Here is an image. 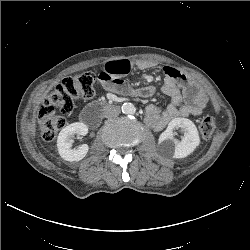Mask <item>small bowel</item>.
<instances>
[{"instance_id":"c3829d8e","label":"small bowel","mask_w":250,"mask_h":250,"mask_svg":"<svg viewBox=\"0 0 250 250\" xmlns=\"http://www.w3.org/2000/svg\"><path fill=\"white\" fill-rule=\"evenodd\" d=\"M149 66L150 63L148 62L109 61L102 68L99 80L110 91L149 97L155 92L154 86L134 89L129 87L123 79V76L129 74L135 68L145 69ZM163 72L165 78L161 90L170 96L171 103L165 108L156 105L146 107V122L157 131L163 129L176 118L200 115L206 105L205 95L187 75L172 67H164Z\"/></svg>"}]
</instances>
